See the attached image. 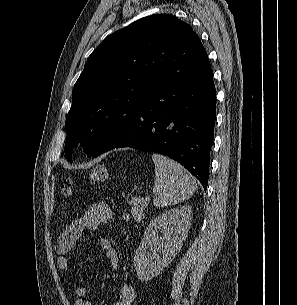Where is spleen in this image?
<instances>
[{
	"label": "spleen",
	"instance_id": "1",
	"mask_svg": "<svg viewBox=\"0 0 297 305\" xmlns=\"http://www.w3.org/2000/svg\"><path fill=\"white\" fill-rule=\"evenodd\" d=\"M152 159L155 164L154 206L175 205L193 195L196 180L185 168L160 154H153Z\"/></svg>",
	"mask_w": 297,
	"mask_h": 305
}]
</instances>
